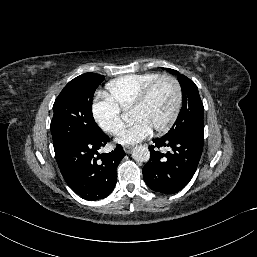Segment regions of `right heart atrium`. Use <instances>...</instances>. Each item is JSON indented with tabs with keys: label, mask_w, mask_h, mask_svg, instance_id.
<instances>
[{
	"label": "right heart atrium",
	"mask_w": 257,
	"mask_h": 257,
	"mask_svg": "<svg viewBox=\"0 0 257 257\" xmlns=\"http://www.w3.org/2000/svg\"><path fill=\"white\" fill-rule=\"evenodd\" d=\"M105 102L108 105H110L111 108L114 110V112L116 114L115 121L111 124H107V123H104L101 120H99V118L97 117V114H96L95 107H93V117H94V120L96 121V123L98 124L99 128L102 131H104L110 135H116L119 133V131L122 127V122H121V118H120V109L112 101H110L107 97L105 98Z\"/></svg>",
	"instance_id": "obj_1"
}]
</instances>
